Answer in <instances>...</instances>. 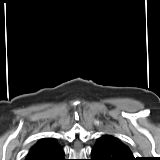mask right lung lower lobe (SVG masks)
Listing matches in <instances>:
<instances>
[{
	"mask_svg": "<svg viewBox=\"0 0 160 160\" xmlns=\"http://www.w3.org/2000/svg\"><path fill=\"white\" fill-rule=\"evenodd\" d=\"M35 160H66L64 158V151L62 147H58L55 150L36 158Z\"/></svg>",
	"mask_w": 160,
	"mask_h": 160,
	"instance_id": "right-lung-lower-lobe-1",
	"label": "right lung lower lobe"
}]
</instances>
